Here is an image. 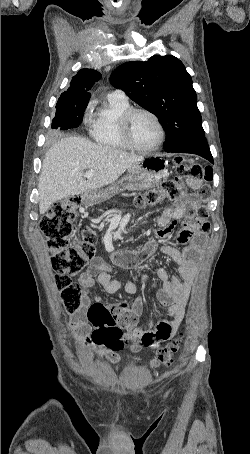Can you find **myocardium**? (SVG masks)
Returning a JSON list of instances; mask_svg holds the SVG:
<instances>
[{
	"label": "myocardium",
	"mask_w": 250,
	"mask_h": 454,
	"mask_svg": "<svg viewBox=\"0 0 250 454\" xmlns=\"http://www.w3.org/2000/svg\"><path fill=\"white\" fill-rule=\"evenodd\" d=\"M137 114H146L150 116L153 121L155 122L158 132H159V137L158 140L150 147L148 148H142L137 146L131 136V122L133 118ZM119 131L121 138L127 148L139 152V153H152L159 149L161 145L163 144L165 140V129L164 126L160 120V118L155 114L153 111L143 108V107H138V108H130L126 110L120 117H119Z\"/></svg>",
	"instance_id": "f54148a6"
}]
</instances>
